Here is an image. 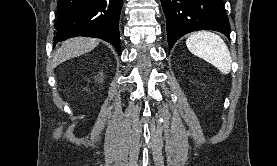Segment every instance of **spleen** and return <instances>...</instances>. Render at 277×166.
<instances>
[{
  "label": "spleen",
  "mask_w": 277,
  "mask_h": 166,
  "mask_svg": "<svg viewBox=\"0 0 277 166\" xmlns=\"http://www.w3.org/2000/svg\"><path fill=\"white\" fill-rule=\"evenodd\" d=\"M186 46L192 54L212 64L221 73L231 71L230 51L220 36L210 31H199L186 39Z\"/></svg>",
  "instance_id": "1"
}]
</instances>
